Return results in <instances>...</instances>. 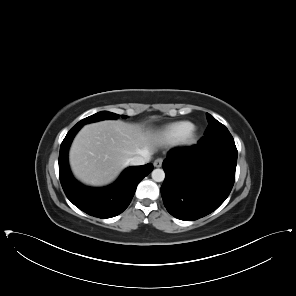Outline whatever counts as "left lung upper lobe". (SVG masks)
Wrapping results in <instances>:
<instances>
[{
  "label": "left lung upper lobe",
  "mask_w": 296,
  "mask_h": 296,
  "mask_svg": "<svg viewBox=\"0 0 296 296\" xmlns=\"http://www.w3.org/2000/svg\"><path fill=\"white\" fill-rule=\"evenodd\" d=\"M208 121V128L205 136L202 138L203 142L208 148L219 146H235L234 139L228 129L217 121L210 114H206Z\"/></svg>",
  "instance_id": "5c2ea615"
}]
</instances>
